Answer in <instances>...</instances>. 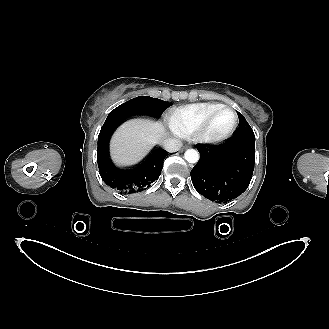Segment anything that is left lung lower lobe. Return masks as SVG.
I'll return each instance as SVG.
<instances>
[{"label":"left lung lower lobe","instance_id":"left-lung-lower-lobe-1","mask_svg":"<svg viewBox=\"0 0 329 329\" xmlns=\"http://www.w3.org/2000/svg\"><path fill=\"white\" fill-rule=\"evenodd\" d=\"M198 163L191 170L195 189L212 201L227 202L249 186L255 163V138L236 137L221 145H197Z\"/></svg>","mask_w":329,"mask_h":329}]
</instances>
